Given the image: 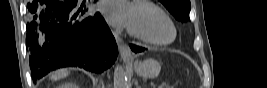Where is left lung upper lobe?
<instances>
[{
    "mask_svg": "<svg viewBox=\"0 0 267 88\" xmlns=\"http://www.w3.org/2000/svg\"><path fill=\"white\" fill-rule=\"evenodd\" d=\"M177 20H189L190 0H159Z\"/></svg>",
    "mask_w": 267,
    "mask_h": 88,
    "instance_id": "obj_1",
    "label": "left lung upper lobe"
}]
</instances>
